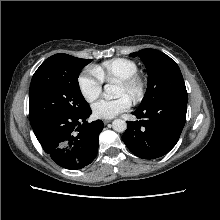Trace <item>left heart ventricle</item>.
<instances>
[{
    "label": "left heart ventricle",
    "mask_w": 220,
    "mask_h": 220,
    "mask_svg": "<svg viewBox=\"0 0 220 220\" xmlns=\"http://www.w3.org/2000/svg\"><path fill=\"white\" fill-rule=\"evenodd\" d=\"M116 94L119 95V96L125 95V96L129 97V93H128L124 88H122V87L119 86V85H117Z\"/></svg>",
    "instance_id": "left-heart-ventricle-1"
}]
</instances>
